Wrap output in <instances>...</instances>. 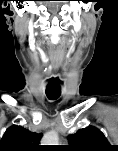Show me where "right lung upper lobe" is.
I'll return each mask as SVG.
<instances>
[{
  "mask_svg": "<svg viewBox=\"0 0 118 151\" xmlns=\"http://www.w3.org/2000/svg\"><path fill=\"white\" fill-rule=\"evenodd\" d=\"M40 139L41 134L13 125L4 133L0 141V151H34L39 149Z\"/></svg>",
  "mask_w": 118,
  "mask_h": 151,
  "instance_id": "right-lung-upper-lobe-1",
  "label": "right lung upper lobe"
}]
</instances>
